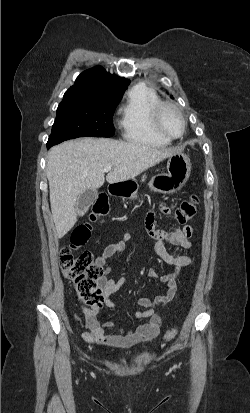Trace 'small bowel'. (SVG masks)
I'll return each mask as SVG.
<instances>
[{
	"label": "small bowel",
	"instance_id": "small-bowel-1",
	"mask_svg": "<svg viewBox=\"0 0 250 413\" xmlns=\"http://www.w3.org/2000/svg\"><path fill=\"white\" fill-rule=\"evenodd\" d=\"M164 213H171L173 207L161 206ZM154 215L149 213L146 217V235L148 238H154V250L156 254L167 264L174 267V271L168 274L159 275L154 267L147 270L150 278L158 280L166 285L167 290L163 295L156 296L153 299L142 297L137 300V305L141 310L136 311L133 319H148L147 323L139 325L135 329L125 330L111 321L101 323L98 319L100 307L83 308L84 326L86 331L81 332L82 339L90 345H104L110 348L129 349L141 343L149 342L158 336L161 326V317L157 312L158 306H166L172 302L178 295L177 277L182 268L190 266L193 258L184 255H172L166 247L165 242L179 248L190 249L193 247L191 238L193 236V227L186 225L183 228L169 227L166 229L156 230L154 225ZM129 235L116 243L109 244L105 247L100 256L96 259V264L104 269V275L99 279V285L102 290V304L111 310H116L117 306L112 301L111 296L117 292L125 279L121 277L118 281L109 279L107 275L111 268L106 267L107 261L114 255L123 251L125 243L129 240ZM110 331V333H107Z\"/></svg>",
	"mask_w": 250,
	"mask_h": 413
}]
</instances>
